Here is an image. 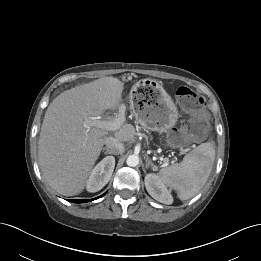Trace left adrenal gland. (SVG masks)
<instances>
[{
	"label": "left adrenal gland",
	"instance_id": "left-adrenal-gland-1",
	"mask_svg": "<svg viewBox=\"0 0 261 261\" xmlns=\"http://www.w3.org/2000/svg\"><path fill=\"white\" fill-rule=\"evenodd\" d=\"M145 161H146V165H145L146 169L149 168V166H151L152 170H156V166L148 157H146Z\"/></svg>",
	"mask_w": 261,
	"mask_h": 261
}]
</instances>
